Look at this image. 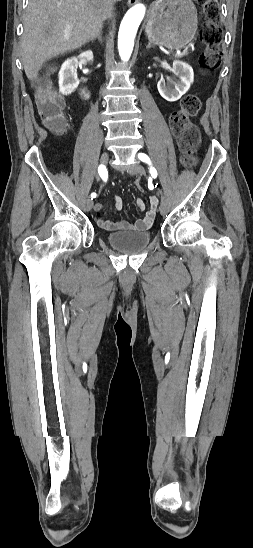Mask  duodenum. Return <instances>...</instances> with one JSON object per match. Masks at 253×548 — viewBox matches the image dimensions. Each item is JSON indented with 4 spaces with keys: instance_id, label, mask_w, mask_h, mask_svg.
I'll return each mask as SVG.
<instances>
[{
    "instance_id": "obj_1",
    "label": "duodenum",
    "mask_w": 253,
    "mask_h": 548,
    "mask_svg": "<svg viewBox=\"0 0 253 548\" xmlns=\"http://www.w3.org/2000/svg\"><path fill=\"white\" fill-rule=\"evenodd\" d=\"M81 91H82V93H83L84 96H88V95H89V91H88V89H87L86 87L82 88Z\"/></svg>"
}]
</instances>
